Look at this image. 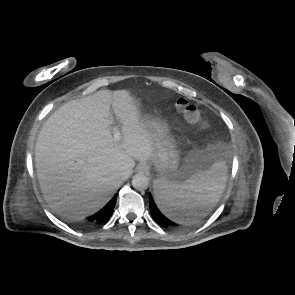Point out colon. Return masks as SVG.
<instances>
[{"label":"colon","instance_id":"5ec220e1","mask_svg":"<svg viewBox=\"0 0 295 295\" xmlns=\"http://www.w3.org/2000/svg\"><path fill=\"white\" fill-rule=\"evenodd\" d=\"M176 109L182 114L189 124H202L199 108L185 98H179L175 103Z\"/></svg>","mask_w":295,"mask_h":295}]
</instances>
